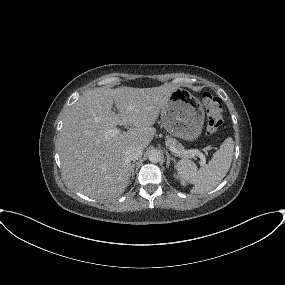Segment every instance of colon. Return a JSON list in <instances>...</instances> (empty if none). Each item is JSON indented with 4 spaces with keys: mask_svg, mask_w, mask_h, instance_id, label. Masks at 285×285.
I'll use <instances>...</instances> for the list:
<instances>
[{
    "mask_svg": "<svg viewBox=\"0 0 285 285\" xmlns=\"http://www.w3.org/2000/svg\"><path fill=\"white\" fill-rule=\"evenodd\" d=\"M202 102L206 111L207 118L206 134L213 135L220 129L223 123L222 102L217 96L209 92L203 93Z\"/></svg>",
    "mask_w": 285,
    "mask_h": 285,
    "instance_id": "5ec220e1",
    "label": "colon"
}]
</instances>
